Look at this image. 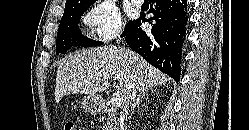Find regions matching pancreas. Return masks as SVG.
I'll list each match as a JSON object with an SVG mask.
<instances>
[{"label": "pancreas", "mask_w": 249, "mask_h": 130, "mask_svg": "<svg viewBox=\"0 0 249 130\" xmlns=\"http://www.w3.org/2000/svg\"><path fill=\"white\" fill-rule=\"evenodd\" d=\"M106 116L99 119V122L103 125V130H115L114 124V111L110 108L105 109Z\"/></svg>", "instance_id": "obj_1"}]
</instances>
